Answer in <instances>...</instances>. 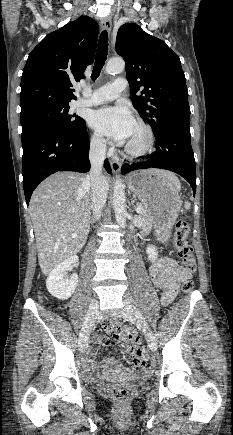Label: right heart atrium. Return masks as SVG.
I'll return each instance as SVG.
<instances>
[{
    "label": "right heart atrium",
    "mask_w": 233,
    "mask_h": 435,
    "mask_svg": "<svg viewBox=\"0 0 233 435\" xmlns=\"http://www.w3.org/2000/svg\"><path fill=\"white\" fill-rule=\"evenodd\" d=\"M106 146L105 139L97 132L90 136V147L95 152H103Z\"/></svg>",
    "instance_id": "d8ad5b80"
}]
</instances>
